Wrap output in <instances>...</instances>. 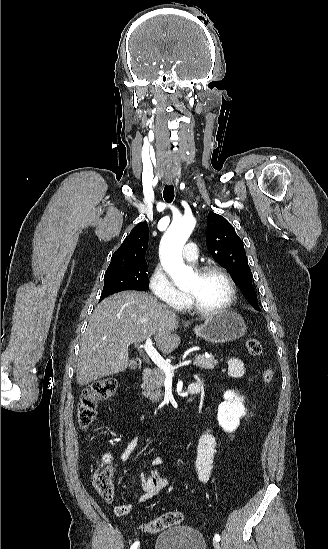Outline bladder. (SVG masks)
I'll list each match as a JSON object with an SVG mask.
<instances>
[{
	"label": "bladder",
	"mask_w": 328,
	"mask_h": 549,
	"mask_svg": "<svg viewBox=\"0 0 328 549\" xmlns=\"http://www.w3.org/2000/svg\"><path fill=\"white\" fill-rule=\"evenodd\" d=\"M155 549H206L200 532L189 526H178L159 533Z\"/></svg>",
	"instance_id": "31cf9c89"
}]
</instances>
